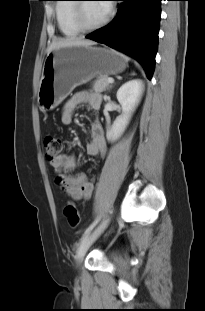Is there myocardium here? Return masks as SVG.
Listing matches in <instances>:
<instances>
[{"label":"myocardium","mask_w":205,"mask_h":311,"mask_svg":"<svg viewBox=\"0 0 205 311\" xmlns=\"http://www.w3.org/2000/svg\"><path fill=\"white\" fill-rule=\"evenodd\" d=\"M84 2L85 0H75L73 4L72 16L77 27L83 32H92L103 28L111 18V11L109 10L105 18L98 24L88 25L83 16Z\"/></svg>","instance_id":"obj_1"}]
</instances>
